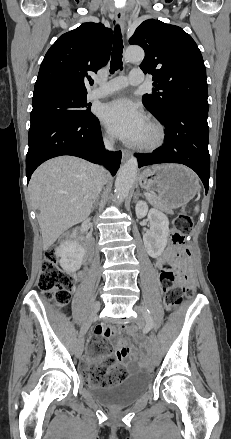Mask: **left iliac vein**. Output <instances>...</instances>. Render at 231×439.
I'll use <instances>...</instances> for the list:
<instances>
[{
    "instance_id": "4c4485c4",
    "label": "left iliac vein",
    "mask_w": 231,
    "mask_h": 439,
    "mask_svg": "<svg viewBox=\"0 0 231 439\" xmlns=\"http://www.w3.org/2000/svg\"><path fill=\"white\" fill-rule=\"evenodd\" d=\"M135 310L138 313L136 322L140 326H145L147 322V311L143 306H136ZM151 346H152V361L155 365H158L160 362V346L159 341L154 332H151L150 336Z\"/></svg>"
}]
</instances>
